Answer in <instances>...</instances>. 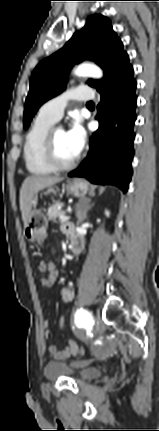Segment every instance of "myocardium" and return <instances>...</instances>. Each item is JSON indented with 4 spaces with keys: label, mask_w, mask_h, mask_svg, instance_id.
<instances>
[{
    "label": "myocardium",
    "mask_w": 159,
    "mask_h": 431,
    "mask_svg": "<svg viewBox=\"0 0 159 431\" xmlns=\"http://www.w3.org/2000/svg\"><path fill=\"white\" fill-rule=\"evenodd\" d=\"M57 129H51L46 137L45 145H44V156L47 163L55 170V171H66L70 170L77 165L79 162V155L68 163L61 162L56 154L55 148V132Z\"/></svg>",
    "instance_id": "f54148a6"
}]
</instances>
